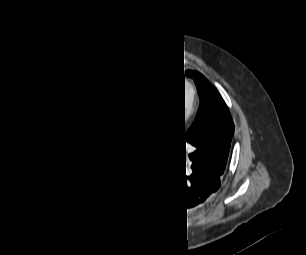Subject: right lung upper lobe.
Returning <instances> with one entry per match:
<instances>
[{
    "label": "right lung upper lobe",
    "mask_w": 306,
    "mask_h": 255,
    "mask_svg": "<svg viewBox=\"0 0 306 255\" xmlns=\"http://www.w3.org/2000/svg\"><path fill=\"white\" fill-rule=\"evenodd\" d=\"M122 76L117 72L89 78L71 88L62 101L57 116L56 147L61 172L71 186H78L84 178L100 176L112 168L106 160L102 138L111 130L115 98L124 83ZM91 121H103L104 131L84 173L76 175L68 162L73 156L71 134L77 124Z\"/></svg>",
    "instance_id": "cb5924a9"
}]
</instances>
